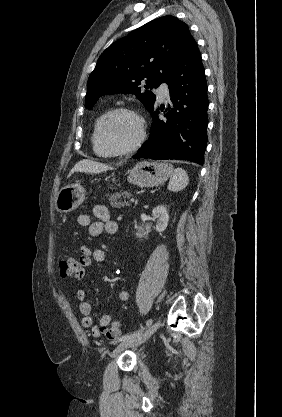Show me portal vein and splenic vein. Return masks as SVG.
<instances>
[{"mask_svg": "<svg viewBox=\"0 0 282 417\" xmlns=\"http://www.w3.org/2000/svg\"><path fill=\"white\" fill-rule=\"evenodd\" d=\"M131 202L132 203H136L137 202V199L136 198H131Z\"/></svg>", "mask_w": 282, "mask_h": 417, "instance_id": "portal-vein-and-splenic-vein-1", "label": "portal vein and splenic vein"}]
</instances>
